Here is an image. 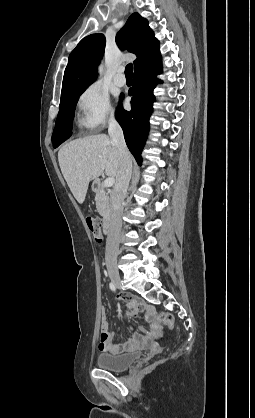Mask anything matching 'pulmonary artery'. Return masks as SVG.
I'll return each instance as SVG.
<instances>
[{"mask_svg": "<svg viewBox=\"0 0 255 418\" xmlns=\"http://www.w3.org/2000/svg\"><path fill=\"white\" fill-rule=\"evenodd\" d=\"M114 82L118 86H124L125 85L126 78H125V75H124V68L123 67L118 68L117 73L114 77Z\"/></svg>", "mask_w": 255, "mask_h": 418, "instance_id": "e3ab8cb5", "label": "pulmonary artery"}]
</instances>
